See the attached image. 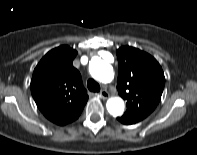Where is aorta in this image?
I'll return each instance as SVG.
<instances>
[{
	"label": "aorta",
	"mask_w": 197,
	"mask_h": 155,
	"mask_svg": "<svg viewBox=\"0 0 197 155\" xmlns=\"http://www.w3.org/2000/svg\"><path fill=\"white\" fill-rule=\"evenodd\" d=\"M91 76L100 82H110L113 79V67L102 59L92 60L89 66ZM108 112L113 116H120L124 112L125 104L122 98L112 97L106 103Z\"/></svg>",
	"instance_id": "1"
}]
</instances>
